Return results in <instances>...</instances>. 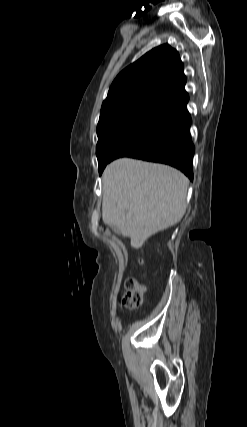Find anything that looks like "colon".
<instances>
[{"mask_svg": "<svg viewBox=\"0 0 247 427\" xmlns=\"http://www.w3.org/2000/svg\"><path fill=\"white\" fill-rule=\"evenodd\" d=\"M125 290L121 305L128 310L138 308L143 301L145 286L136 277L132 276L125 281Z\"/></svg>", "mask_w": 247, "mask_h": 427, "instance_id": "colon-1", "label": "colon"}]
</instances>
